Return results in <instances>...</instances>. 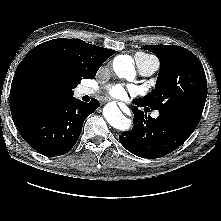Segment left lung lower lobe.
<instances>
[{
  "instance_id": "obj_1",
  "label": "left lung lower lobe",
  "mask_w": 221,
  "mask_h": 221,
  "mask_svg": "<svg viewBox=\"0 0 221 221\" xmlns=\"http://www.w3.org/2000/svg\"><path fill=\"white\" fill-rule=\"evenodd\" d=\"M133 103L144 107L138 100ZM132 111L134 128L123 132L119 141L129 152L143 158H159L174 151L198 125V122L179 113L159 112L157 118H152L138 108H133Z\"/></svg>"
}]
</instances>
